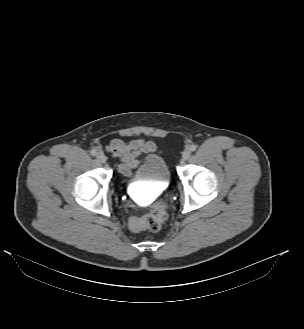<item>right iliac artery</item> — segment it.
<instances>
[{"mask_svg":"<svg viewBox=\"0 0 304 329\" xmlns=\"http://www.w3.org/2000/svg\"><path fill=\"white\" fill-rule=\"evenodd\" d=\"M90 154H91L92 156H96V155H97V152H96V150H91V151H90Z\"/></svg>","mask_w":304,"mask_h":329,"instance_id":"obj_1","label":"right iliac artery"}]
</instances>
